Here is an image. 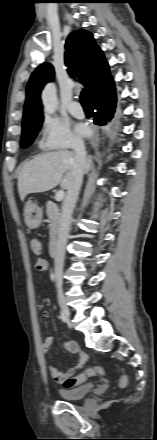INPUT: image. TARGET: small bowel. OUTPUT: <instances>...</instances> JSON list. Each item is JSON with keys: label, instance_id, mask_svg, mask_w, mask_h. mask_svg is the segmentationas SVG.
Here are the masks:
<instances>
[{"label": "small bowel", "instance_id": "obj_1", "mask_svg": "<svg viewBox=\"0 0 157 440\" xmlns=\"http://www.w3.org/2000/svg\"><path fill=\"white\" fill-rule=\"evenodd\" d=\"M48 268V265L46 267V269ZM45 269V270H46ZM42 316L44 318L49 317V312L44 311L42 313ZM53 345V339L51 337H48L44 340L43 344H42V351L44 353H48L51 349ZM64 348L65 350L70 354V355H76L78 354L80 359L77 365L70 367L69 369H67L65 372H61L59 371L56 367H54L53 365H48L47 369L48 372L50 374V376L58 383L60 384H64V382L70 378L73 377L80 369H82L85 361H86V355L84 353H82L80 351V348L78 346V344L74 341H67L64 343Z\"/></svg>", "mask_w": 157, "mask_h": 440}]
</instances>
